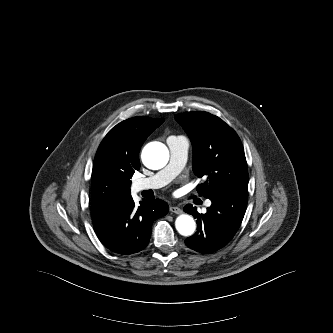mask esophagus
Returning a JSON list of instances; mask_svg holds the SVG:
<instances>
[{"instance_id": "esophagus-1", "label": "esophagus", "mask_w": 333, "mask_h": 333, "mask_svg": "<svg viewBox=\"0 0 333 333\" xmlns=\"http://www.w3.org/2000/svg\"><path fill=\"white\" fill-rule=\"evenodd\" d=\"M170 211L175 214H181L183 212L182 209L177 206H171Z\"/></svg>"}]
</instances>
